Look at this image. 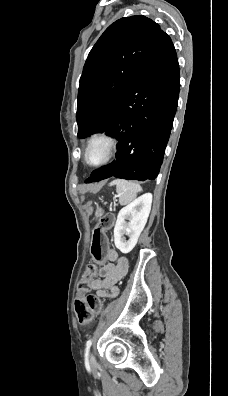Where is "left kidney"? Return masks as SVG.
<instances>
[{
  "label": "left kidney",
  "instance_id": "1",
  "mask_svg": "<svg viewBox=\"0 0 228 396\" xmlns=\"http://www.w3.org/2000/svg\"><path fill=\"white\" fill-rule=\"evenodd\" d=\"M151 204L152 194L147 193L120 210L114 228V243L122 253H129L137 244L150 214ZM124 235L128 236V240Z\"/></svg>",
  "mask_w": 228,
  "mask_h": 396
}]
</instances>
